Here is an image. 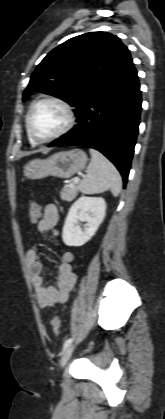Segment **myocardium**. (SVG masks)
<instances>
[{"instance_id": "myocardium-1", "label": "myocardium", "mask_w": 165, "mask_h": 419, "mask_svg": "<svg viewBox=\"0 0 165 419\" xmlns=\"http://www.w3.org/2000/svg\"><path fill=\"white\" fill-rule=\"evenodd\" d=\"M45 102H51L54 104H57L58 106H60L65 115H66V122L64 124V126L55 134L47 137V138H40L38 137L33 128H32V123H31V118H32V114L34 109L41 103H45ZM75 123V113L73 111V108L71 107V105L66 102L65 100H63L62 98L56 97V96H45L41 99L36 100L35 102H33V104L30 106L27 116H26V128H27V132L30 135V137L32 138V140L35 143H39V144H43V143H48V142H52L54 140L59 139L60 137L64 136L65 134H67L73 127Z\"/></svg>"}]
</instances>
